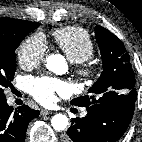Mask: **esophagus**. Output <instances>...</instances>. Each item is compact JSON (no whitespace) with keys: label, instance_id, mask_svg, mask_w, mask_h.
Here are the masks:
<instances>
[{"label":"esophagus","instance_id":"1","mask_svg":"<svg viewBox=\"0 0 142 142\" xmlns=\"http://www.w3.org/2000/svg\"><path fill=\"white\" fill-rule=\"evenodd\" d=\"M51 113H52L51 111L45 110V109H42V110L40 111V114H41L42 116L49 115V114H51Z\"/></svg>","mask_w":142,"mask_h":142}]
</instances>
